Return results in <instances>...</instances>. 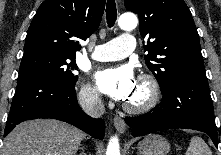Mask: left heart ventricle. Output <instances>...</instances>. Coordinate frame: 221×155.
Here are the masks:
<instances>
[{"mask_svg": "<svg viewBox=\"0 0 221 155\" xmlns=\"http://www.w3.org/2000/svg\"><path fill=\"white\" fill-rule=\"evenodd\" d=\"M145 96H146V89L142 84H140L138 82L136 87H135V90H134L133 94L127 100V103H131V104L140 103L141 101L144 100Z\"/></svg>", "mask_w": 221, "mask_h": 155, "instance_id": "b2bd125f", "label": "left heart ventricle"}]
</instances>
